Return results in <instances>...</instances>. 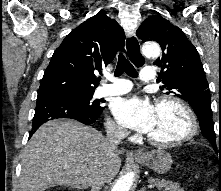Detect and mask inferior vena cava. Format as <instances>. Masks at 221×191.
Returning a JSON list of instances; mask_svg holds the SVG:
<instances>
[{"instance_id":"obj_1","label":"inferior vena cava","mask_w":221,"mask_h":191,"mask_svg":"<svg viewBox=\"0 0 221 191\" xmlns=\"http://www.w3.org/2000/svg\"><path fill=\"white\" fill-rule=\"evenodd\" d=\"M122 131L119 128H114L107 132L106 140L110 148H115L121 142ZM105 183L103 176L95 177L91 183V191H100Z\"/></svg>"}]
</instances>
